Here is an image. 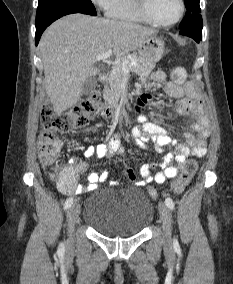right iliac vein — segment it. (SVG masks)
Listing matches in <instances>:
<instances>
[{"label":"right iliac vein","instance_id":"1","mask_svg":"<svg viewBox=\"0 0 233 284\" xmlns=\"http://www.w3.org/2000/svg\"><path fill=\"white\" fill-rule=\"evenodd\" d=\"M80 214L79 204H73L67 212L68 231L70 233V242H72V233L74 230L75 222Z\"/></svg>","mask_w":233,"mask_h":284}]
</instances>
